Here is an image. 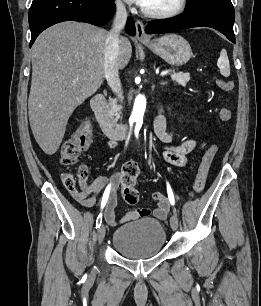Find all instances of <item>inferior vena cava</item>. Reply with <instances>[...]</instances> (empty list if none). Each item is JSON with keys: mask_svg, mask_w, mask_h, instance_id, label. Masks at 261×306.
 Listing matches in <instances>:
<instances>
[{"mask_svg": "<svg viewBox=\"0 0 261 306\" xmlns=\"http://www.w3.org/2000/svg\"><path fill=\"white\" fill-rule=\"evenodd\" d=\"M126 20V8L121 1H117L113 26L108 32L104 51V73L111 90L121 101L123 100V94L119 78L118 56L120 32L124 29Z\"/></svg>", "mask_w": 261, "mask_h": 306, "instance_id": "602c4592", "label": "inferior vena cava"}]
</instances>
